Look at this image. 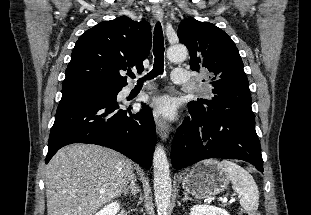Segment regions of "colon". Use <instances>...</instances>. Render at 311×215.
Instances as JSON below:
<instances>
[{"label": "colon", "mask_w": 311, "mask_h": 215, "mask_svg": "<svg viewBox=\"0 0 311 215\" xmlns=\"http://www.w3.org/2000/svg\"><path fill=\"white\" fill-rule=\"evenodd\" d=\"M241 215H261V214L257 211H242Z\"/></svg>", "instance_id": "1"}]
</instances>
